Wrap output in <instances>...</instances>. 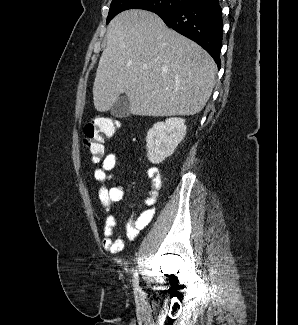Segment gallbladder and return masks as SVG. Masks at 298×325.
<instances>
[{
	"label": "gallbladder",
	"mask_w": 298,
	"mask_h": 325,
	"mask_svg": "<svg viewBox=\"0 0 298 325\" xmlns=\"http://www.w3.org/2000/svg\"><path fill=\"white\" fill-rule=\"evenodd\" d=\"M111 114L117 116V118H123V116H129L130 104L127 96H119L113 106L110 108Z\"/></svg>",
	"instance_id": "1"
}]
</instances>
